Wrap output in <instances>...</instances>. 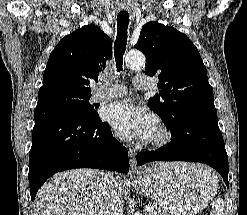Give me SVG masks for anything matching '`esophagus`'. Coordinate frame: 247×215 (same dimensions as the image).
Wrapping results in <instances>:
<instances>
[{
	"label": "esophagus",
	"mask_w": 247,
	"mask_h": 215,
	"mask_svg": "<svg viewBox=\"0 0 247 215\" xmlns=\"http://www.w3.org/2000/svg\"><path fill=\"white\" fill-rule=\"evenodd\" d=\"M129 161H130V172L133 174L138 173L140 168L137 166L135 152L131 149L129 150Z\"/></svg>",
	"instance_id": "obj_1"
}]
</instances>
